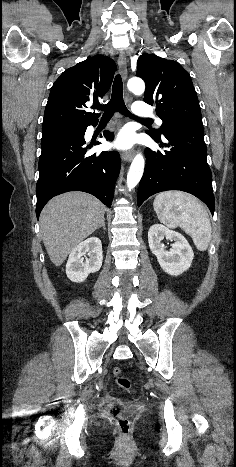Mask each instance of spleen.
Wrapping results in <instances>:
<instances>
[{
  "label": "spleen",
  "mask_w": 236,
  "mask_h": 467,
  "mask_svg": "<svg viewBox=\"0 0 236 467\" xmlns=\"http://www.w3.org/2000/svg\"><path fill=\"white\" fill-rule=\"evenodd\" d=\"M161 223L179 226L191 236L198 250L205 251L211 240V223L203 205L193 196L179 191L158 194L153 202Z\"/></svg>",
  "instance_id": "spleen-1"
}]
</instances>
